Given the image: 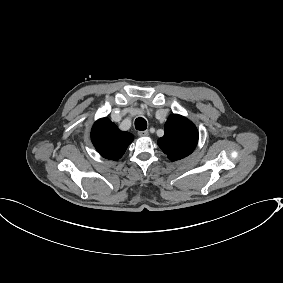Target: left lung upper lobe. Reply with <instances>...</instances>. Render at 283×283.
I'll return each mask as SVG.
<instances>
[{
    "mask_svg": "<svg viewBox=\"0 0 283 283\" xmlns=\"http://www.w3.org/2000/svg\"><path fill=\"white\" fill-rule=\"evenodd\" d=\"M198 143V130L187 118L172 114L165 123L164 136L158 139V146L171 161L190 155Z\"/></svg>",
    "mask_w": 283,
    "mask_h": 283,
    "instance_id": "1",
    "label": "left lung upper lobe"
}]
</instances>
